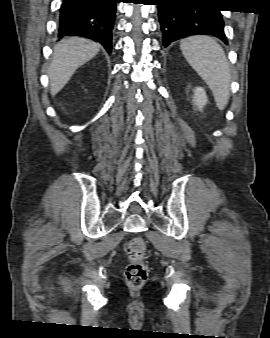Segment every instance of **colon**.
<instances>
[{
    "label": "colon",
    "instance_id": "1",
    "mask_svg": "<svg viewBox=\"0 0 270 338\" xmlns=\"http://www.w3.org/2000/svg\"><path fill=\"white\" fill-rule=\"evenodd\" d=\"M145 256V241L140 237L132 238L127 246L128 262L125 268V280L129 287L141 288L146 283L148 268Z\"/></svg>",
    "mask_w": 270,
    "mask_h": 338
}]
</instances>
